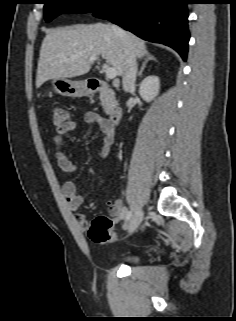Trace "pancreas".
Segmentation results:
<instances>
[{
    "label": "pancreas",
    "instance_id": "cf45deb5",
    "mask_svg": "<svg viewBox=\"0 0 236 321\" xmlns=\"http://www.w3.org/2000/svg\"><path fill=\"white\" fill-rule=\"evenodd\" d=\"M100 100L105 113H109L117 105V101L114 98L108 97L105 94L100 96Z\"/></svg>",
    "mask_w": 236,
    "mask_h": 321
}]
</instances>
